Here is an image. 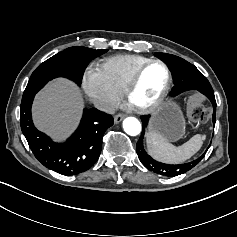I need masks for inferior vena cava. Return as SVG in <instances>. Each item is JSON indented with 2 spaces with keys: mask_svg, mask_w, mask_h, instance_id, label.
<instances>
[{
  "mask_svg": "<svg viewBox=\"0 0 237 237\" xmlns=\"http://www.w3.org/2000/svg\"><path fill=\"white\" fill-rule=\"evenodd\" d=\"M93 104L95 108H97L98 110L103 111L110 115H113L120 107L118 104H113L104 99H95L93 101Z\"/></svg>",
  "mask_w": 237,
  "mask_h": 237,
  "instance_id": "1",
  "label": "inferior vena cava"
}]
</instances>
